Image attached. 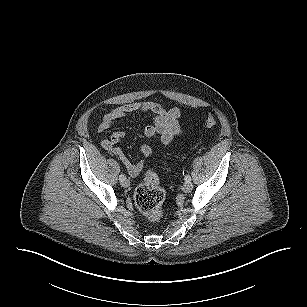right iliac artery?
I'll use <instances>...</instances> for the list:
<instances>
[{
  "label": "right iliac artery",
  "instance_id": "1",
  "mask_svg": "<svg viewBox=\"0 0 307 307\" xmlns=\"http://www.w3.org/2000/svg\"><path fill=\"white\" fill-rule=\"evenodd\" d=\"M126 177H125V175H123V174H121L120 176H119V180L120 181H122L123 179H125Z\"/></svg>",
  "mask_w": 307,
  "mask_h": 307
}]
</instances>
